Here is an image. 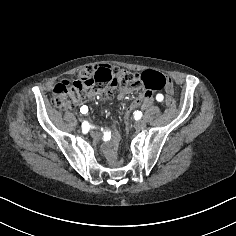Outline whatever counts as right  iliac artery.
I'll return each mask as SVG.
<instances>
[{
  "mask_svg": "<svg viewBox=\"0 0 236 236\" xmlns=\"http://www.w3.org/2000/svg\"><path fill=\"white\" fill-rule=\"evenodd\" d=\"M89 129H90L89 123H88L87 121H84V122L82 123V132H83L84 134H86V133H88Z\"/></svg>",
  "mask_w": 236,
  "mask_h": 236,
  "instance_id": "obj_1",
  "label": "right iliac artery"
}]
</instances>
